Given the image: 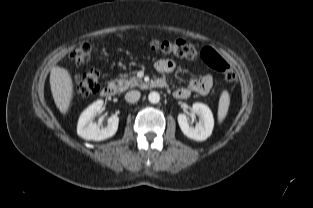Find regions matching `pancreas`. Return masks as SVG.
<instances>
[{
	"label": "pancreas",
	"instance_id": "1",
	"mask_svg": "<svg viewBox=\"0 0 313 208\" xmlns=\"http://www.w3.org/2000/svg\"><path fill=\"white\" fill-rule=\"evenodd\" d=\"M127 77H128V75L124 74L123 76H121V78L119 80H117V84H118L120 91H125L128 88L141 86L142 80L138 79L135 76L130 77L129 79Z\"/></svg>",
	"mask_w": 313,
	"mask_h": 208
}]
</instances>
